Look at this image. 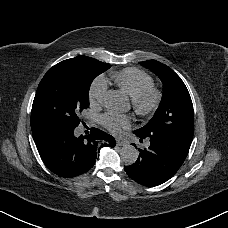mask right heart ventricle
Masks as SVG:
<instances>
[{"mask_svg":"<svg viewBox=\"0 0 228 228\" xmlns=\"http://www.w3.org/2000/svg\"><path fill=\"white\" fill-rule=\"evenodd\" d=\"M110 80L117 86V92H123L127 96L134 97L153 85V79L145 72L136 68H127L119 72H109ZM105 84L111 81L100 76Z\"/></svg>","mask_w":228,"mask_h":228,"instance_id":"e07e8e85","label":"right heart ventricle"}]
</instances>
